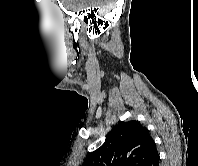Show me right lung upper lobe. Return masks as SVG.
Wrapping results in <instances>:
<instances>
[{"label":"right lung upper lobe","mask_w":198,"mask_h":166,"mask_svg":"<svg viewBox=\"0 0 198 166\" xmlns=\"http://www.w3.org/2000/svg\"><path fill=\"white\" fill-rule=\"evenodd\" d=\"M158 154L149 131L136 120L121 122L82 166H147Z\"/></svg>","instance_id":"1"}]
</instances>
